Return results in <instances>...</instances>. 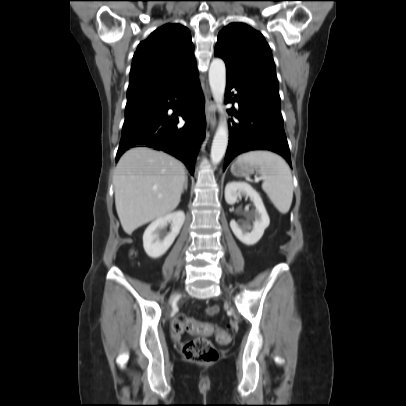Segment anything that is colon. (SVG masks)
<instances>
[{
	"mask_svg": "<svg viewBox=\"0 0 406 406\" xmlns=\"http://www.w3.org/2000/svg\"><path fill=\"white\" fill-rule=\"evenodd\" d=\"M214 326L203 323L185 314H179L173 321V330L177 334H211ZM216 340L219 344H228L231 341L230 335L223 330L216 331ZM184 357L191 362L198 364H209L217 360L218 353L215 347L204 338L188 340L182 347Z\"/></svg>",
	"mask_w": 406,
	"mask_h": 406,
	"instance_id": "obj_1",
	"label": "colon"
}]
</instances>
